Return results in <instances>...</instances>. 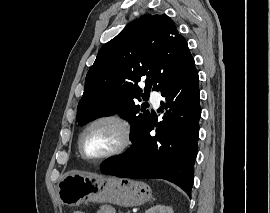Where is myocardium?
<instances>
[{"label": "myocardium", "instance_id": "obj_1", "mask_svg": "<svg viewBox=\"0 0 270 213\" xmlns=\"http://www.w3.org/2000/svg\"><path fill=\"white\" fill-rule=\"evenodd\" d=\"M99 123H112L115 124L117 127H119L121 134H122V139L120 144L114 148L113 150H111L110 152L97 157V158H93L88 156L84 149H83V139L84 136L86 134V132L92 128L93 126L99 124ZM131 141V131H130V126L129 123L122 118L119 115H115V114H103V115H99L95 118H93L91 121H89L84 128L82 129V131L80 132L79 138H78V150L80 155L87 161L89 162H93V163H100L103 162L105 160L114 158L116 156H119L120 154H122L129 146Z\"/></svg>", "mask_w": 270, "mask_h": 213}]
</instances>
